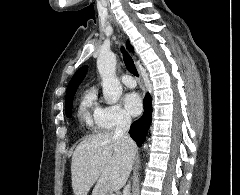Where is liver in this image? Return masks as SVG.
<instances>
[{
  "label": "liver",
  "mask_w": 240,
  "mask_h": 195,
  "mask_svg": "<svg viewBox=\"0 0 240 195\" xmlns=\"http://www.w3.org/2000/svg\"><path fill=\"white\" fill-rule=\"evenodd\" d=\"M131 145L115 137L114 131L88 135L73 151L71 161L72 187L75 195H87L94 185L102 193L119 191L125 185L137 153Z\"/></svg>",
  "instance_id": "6515ba94"
}]
</instances>
